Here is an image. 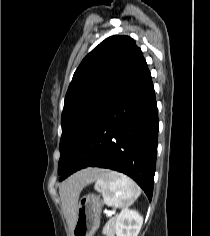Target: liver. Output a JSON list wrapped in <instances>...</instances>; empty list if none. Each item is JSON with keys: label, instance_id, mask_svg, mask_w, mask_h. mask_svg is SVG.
Returning a JSON list of instances; mask_svg holds the SVG:
<instances>
[{"label": "liver", "instance_id": "6515ba94", "mask_svg": "<svg viewBox=\"0 0 210 236\" xmlns=\"http://www.w3.org/2000/svg\"><path fill=\"white\" fill-rule=\"evenodd\" d=\"M104 171L98 168H87L73 174L60 185L59 193L62 207L71 228H74L77 219L80 192L86 185L94 182Z\"/></svg>", "mask_w": 210, "mask_h": 236}]
</instances>
